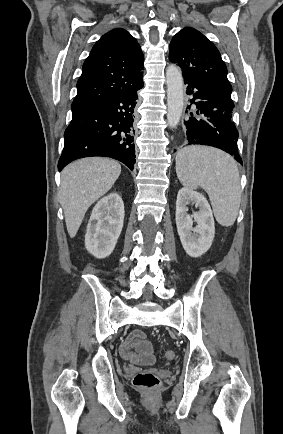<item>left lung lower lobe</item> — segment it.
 <instances>
[{"label": "left lung lower lobe", "instance_id": "obj_1", "mask_svg": "<svg viewBox=\"0 0 283 434\" xmlns=\"http://www.w3.org/2000/svg\"><path fill=\"white\" fill-rule=\"evenodd\" d=\"M183 77L193 105L190 116L184 120L187 144L219 148L242 164L237 148L239 134L231 115L234 107L231 94L195 77L184 74Z\"/></svg>", "mask_w": 283, "mask_h": 434}]
</instances>
